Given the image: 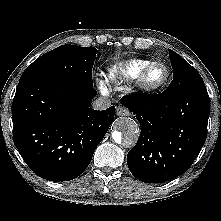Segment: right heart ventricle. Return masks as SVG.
<instances>
[{"instance_id": "right-heart-ventricle-1", "label": "right heart ventricle", "mask_w": 221, "mask_h": 221, "mask_svg": "<svg viewBox=\"0 0 221 221\" xmlns=\"http://www.w3.org/2000/svg\"><path fill=\"white\" fill-rule=\"evenodd\" d=\"M152 61L148 59H130L116 62L107 69V80L110 82L133 81Z\"/></svg>"}]
</instances>
